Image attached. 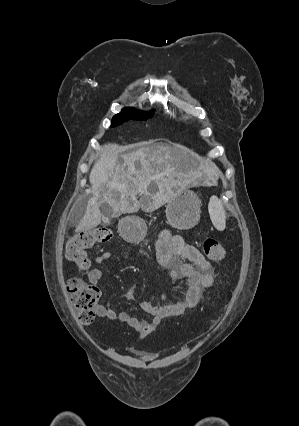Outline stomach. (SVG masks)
I'll use <instances>...</instances> for the list:
<instances>
[{
  "label": "stomach",
  "instance_id": "obj_1",
  "mask_svg": "<svg viewBox=\"0 0 299 426\" xmlns=\"http://www.w3.org/2000/svg\"><path fill=\"white\" fill-rule=\"evenodd\" d=\"M200 207V199L193 191L189 189L179 190L175 192V195L167 202V221L176 229H190L200 220ZM146 231L147 227L142 219L128 218L125 220L123 235L128 241H141Z\"/></svg>",
  "mask_w": 299,
  "mask_h": 426
}]
</instances>
